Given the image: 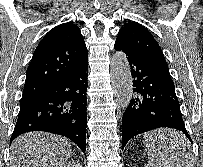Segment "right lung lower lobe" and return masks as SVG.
Wrapping results in <instances>:
<instances>
[{"label": "right lung lower lobe", "instance_id": "right-lung-lower-lobe-1", "mask_svg": "<svg viewBox=\"0 0 203 167\" xmlns=\"http://www.w3.org/2000/svg\"><path fill=\"white\" fill-rule=\"evenodd\" d=\"M88 58L46 92L23 97L10 142L31 131H46L71 139L86 151V91Z\"/></svg>", "mask_w": 203, "mask_h": 167}]
</instances>
